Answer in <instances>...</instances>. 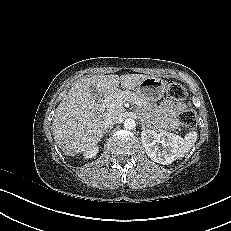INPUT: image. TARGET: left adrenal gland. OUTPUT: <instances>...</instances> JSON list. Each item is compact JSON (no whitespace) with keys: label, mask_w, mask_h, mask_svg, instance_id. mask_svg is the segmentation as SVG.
Instances as JSON below:
<instances>
[{"label":"left adrenal gland","mask_w":231,"mask_h":231,"mask_svg":"<svg viewBox=\"0 0 231 231\" xmlns=\"http://www.w3.org/2000/svg\"><path fill=\"white\" fill-rule=\"evenodd\" d=\"M146 126L144 125V123L142 122V129L145 130Z\"/></svg>","instance_id":"1"}]
</instances>
